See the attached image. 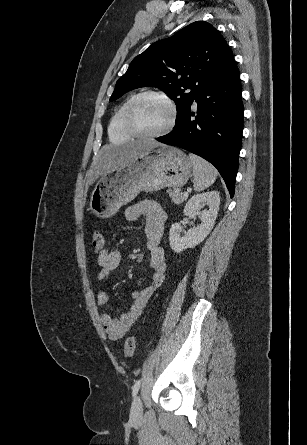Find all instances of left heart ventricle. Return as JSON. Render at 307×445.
<instances>
[{
	"label": "left heart ventricle",
	"mask_w": 307,
	"mask_h": 445,
	"mask_svg": "<svg viewBox=\"0 0 307 445\" xmlns=\"http://www.w3.org/2000/svg\"><path fill=\"white\" fill-rule=\"evenodd\" d=\"M170 110L160 99L151 97L143 100L136 110V121L146 132L154 133L161 130L169 121Z\"/></svg>",
	"instance_id": "1"
}]
</instances>
